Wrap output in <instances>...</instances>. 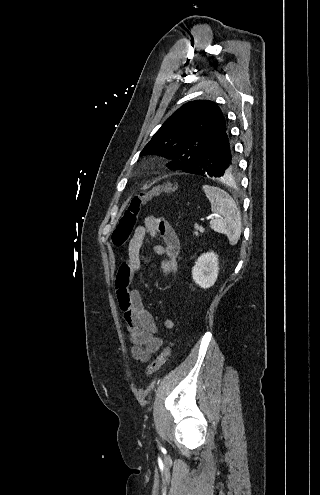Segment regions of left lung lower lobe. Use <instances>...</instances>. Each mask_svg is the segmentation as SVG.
Listing matches in <instances>:
<instances>
[{"label":"left lung lower lobe","instance_id":"left-lung-lower-lobe-1","mask_svg":"<svg viewBox=\"0 0 320 495\" xmlns=\"http://www.w3.org/2000/svg\"><path fill=\"white\" fill-rule=\"evenodd\" d=\"M237 169V158L226 128L217 140L201 153L197 161L183 171L204 177L227 178L236 173Z\"/></svg>","mask_w":320,"mask_h":495}]
</instances>
